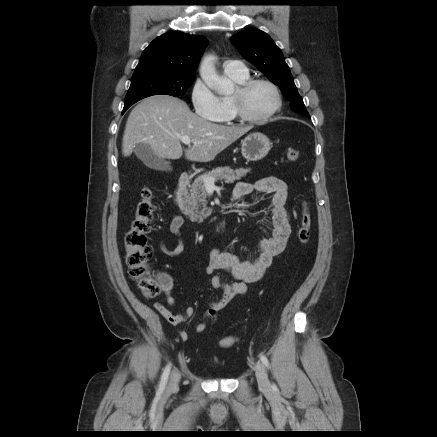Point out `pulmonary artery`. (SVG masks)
I'll list each match as a JSON object with an SVG mask.
<instances>
[{
  "label": "pulmonary artery",
  "instance_id": "pulmonary-artery-1",
  "mask_svg": "<svg viewBox=\"0 0 437 437\" xmlns=\"http://www.w3.org/2000/svg\"><path fill=\"white\" fill-rule=\"evenodd\" d=\"M223 70L227 75H244L247 73L245 65L238 60H227L223 63Z\"/></svg>",
  "mask_w": 437,
  "mask_h": 437
}]
</instances>
